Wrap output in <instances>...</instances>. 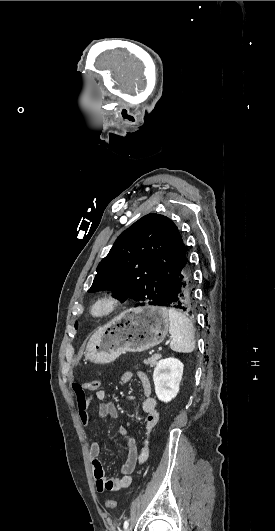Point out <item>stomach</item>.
Instances as JSON below:
<instances>
[{"label": "stomach", "mask_w": 275, "mask_h": 531, "mask_svg": "<svg viewBox=\"0 0 275 531\" xmlns=\"http://www.w3.org/2000/svg\"><path fill=\"white\" fill-rule=\"evenodd\" d=\"M169 315L159 303L144 301L142 307L127 309L90 337L85 357L95 365L112 363L122 353H142L164 341Z\"/></svg>", "instance_id": "1"}]
</instances>
